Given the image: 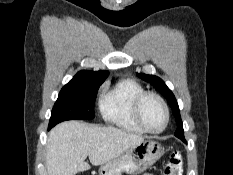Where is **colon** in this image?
Masks as SVG:
<instances>
[{
  "mask_svg": "<svg viewBox=\"0 0 233 175\" xmlns=\"http://www.w3.org/2000/svg\"><path fill=\"white\" fill-rule=\"evenodd\" d=\"M183 157L179 150L171 153L168 162L166 163L162 175H182Z\"/></svg>",
  "mask_w": 233,
  "mask_h": 175,
  "instance_id": "5ec220e1",
  "label": "colon"
}]
</instances>
